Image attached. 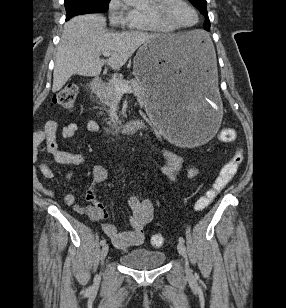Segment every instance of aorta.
<instances>
[{
  "mask_svg": "<svg viewBox=\"0 0 286 308\" xmlns=\"http://www.w3.org/2000/svg\"><path fill=\"white\" fill-rule=\"evenodd\" d=\"M127 4H139L145 2L146 0H123Z\"/></svg>",
  "mask_w": 286,
  "mask_h": 308,
  "instance_id": "762f6f07",
  "label": "aorta"
}]
</instances>
